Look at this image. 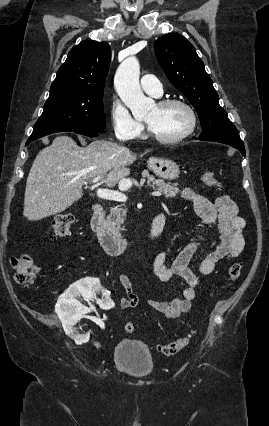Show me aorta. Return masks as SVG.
Wrapping results in <instances>:
<instances>
[{"mask_svg": "<svg viewBox=\"0 0 269 426\" xmlns=\"http://www.w3.org/2000/svg\"><path fill=\"white\" fill-rule=\"evenodd\" d=\"M140 66L135 57L125 59L117 69L114 84L116 90L124 102L131 110L136 119L147 114L148 109L153 105V100L147 98L139 84Z\"/></svg>", "mask_w": 269, "mask_h": 426, "instance_id": "aorta-1", "label": "aorta"}]
</instances>
